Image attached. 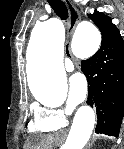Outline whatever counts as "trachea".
<instances>
[{
    "mask_svg": "<svg viewBox=\"0 0 124 149\" xmlns=\"http://www.w3.org/2000/svg\"><path fill=\"white\" fill-rule=\"evenodd\" d=\"M48 2L57 16L62 20H67L68 9L62 0H48Z\"/></svg>",
    "mask_w": 124,
    "mask_h": 149,
    "instance_id": "1",
    "label": "trachea"
}]
</instances>
